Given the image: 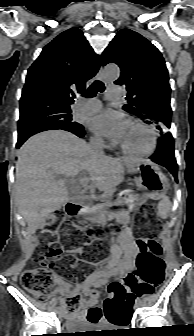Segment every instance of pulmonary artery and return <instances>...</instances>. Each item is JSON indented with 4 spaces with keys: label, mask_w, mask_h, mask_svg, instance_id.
I'll return each mask as SVG.
<instances>
[{
    "label": "pulmonary artery",
    "mask_w": 194,
    "mask_h": 336,
    "mask_svg": "<svg viewBox=\"0 0 194 336\" xmlns=\"http://www.w3.org/2000/svg\"><path fill=\"white\" fill-rule=\"evenodd\" d=\"M121 89L119 87H109L106 92V98L108 100L117 99L120 97ZM80 104L76 111L79 114L91 115L98 112L101 108V102L99 100H79Z\"/></svg>",
    "instance_id": "1"
}]
</instances>
